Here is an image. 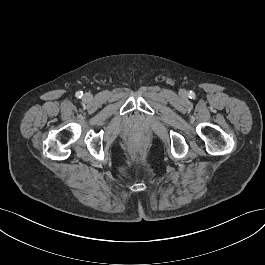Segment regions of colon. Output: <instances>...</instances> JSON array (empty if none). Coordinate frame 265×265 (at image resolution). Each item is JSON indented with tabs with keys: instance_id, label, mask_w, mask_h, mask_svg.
Wrapping results in <instances>:
<instances>
[{
	"instance_id": "colon-1",
	"label": "colon",
	"mask_w": 265,
	"mask_h": 265,
	"mask_svg": "<svg viewBox=\"0 0 265 265\" xmlns=\"http://www.w3.org/2000/svg\"><path fill=\"white\" fill-rule=\"evenodd\" d=\"M134 145L136 146V147H139L140 146V142H134Z\"/></svg>"
}]
</instances>
